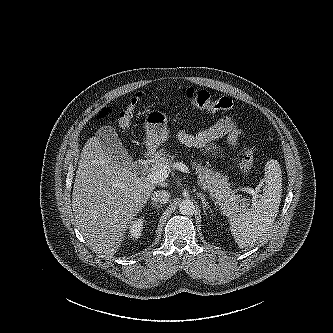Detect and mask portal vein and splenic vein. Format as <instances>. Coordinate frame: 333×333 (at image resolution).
Here are the masks:
<instances>
[{"label":"portal vein and splenic vein","instance_id":"1","mask_svg":"<svg viewBox=\"0 0 333 333\" xmlns=\"http://www.w3.org/2000/svg\"><path fill=\"white\" fill-rule=\"evenodd\" d=\"M171 168L173 169H177L180 170L181 172H185V173H190L189 168L181 163V162H176L173 164H165L163 165L160 169H158L157 171L151 172L147 175V180L152 182V183H160L165 181L168 176L169 173L171 172ZM262 186V182H260L257 187L255 189L253 188H249V187H245L242 189V191H245L249 194H251L253 196V202L256 201V198L258 197V193L260 191V187Z\"/></svg>","mask_w":333,"mask_h":333}]
</instances>
